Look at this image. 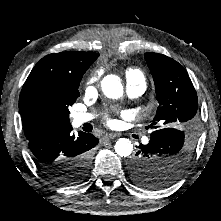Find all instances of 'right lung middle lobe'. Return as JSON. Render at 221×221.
Here are the masks:
<instances>
[{
  "mask_svg": "<svg viewBox=\"0 0 221 221\" xmlns=\"http://www.w3.org/2000/svg\"><path fill=\"white\" fill-rule=\"evenodd\" d=\"M84 73L85 71L68 81H49L32 87L24 96L21 106L27 121L32 125L70 123L68 108L80 95L78 87ZM68 168L83 175L85 161L81 158L75 159Z\"/></svg>",
  "mask_w": 221,
  "mask_h": 221,
  "instance_id": "obj_1",
  "label": "right lung middle lobe"
}]
</instances>
